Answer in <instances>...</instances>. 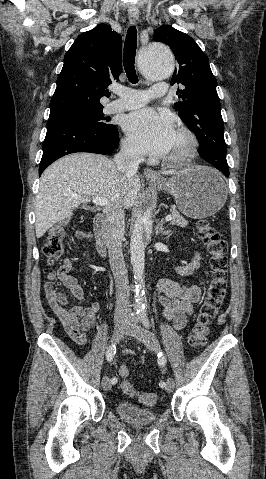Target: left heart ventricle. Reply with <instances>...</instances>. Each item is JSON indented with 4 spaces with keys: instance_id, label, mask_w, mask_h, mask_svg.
<instances>
[{
    "instance_id": "1",
    "label": "left heart ventricle",
    "mask_w": 266,
    "mask_h": 479,
    "mask_svg": "<svg viewBox=\"0 0 266 479\" xmlns=\"http://www.w3.org/2000/svg\"><path fill=\"white\" fill-rule=\"evenodd\" d=\"M185 143V140L182 136L178 135V134H175V137H174V140H173V143H172V147L171 149L169 150V152L167 153V157L172 155L174 152H176L178 149H180Z\"/></svg>"
}]
</instances>
